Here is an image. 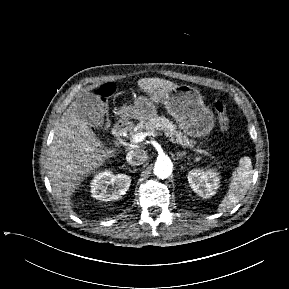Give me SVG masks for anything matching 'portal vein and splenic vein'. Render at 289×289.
<instances>
[{
  "instance_id": "portal-vein-and-splenic-vein-1",
  "label": "portal vein and splenic vein",
  "mask_w": 289,
  "mask_h": 289,
  "mask_svg": "<svg viewBox=\"0 0 289 289\" xmlns=\"http://www.w3.org/2000/svg\"><path fill=\"white\" fill-rule=\"evenodd\" d=\"M157 135H162V134L154 132V131L140 132V133L135 134L132 137V142L139 143V142H142L145 139V137H147V136H157ZM192 150L195 151L196 153L204 155V156L214 157L209 152H207L206 150H203V149H195L194 148Z\"/></svg>"
}]
</instances>
